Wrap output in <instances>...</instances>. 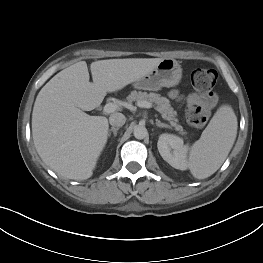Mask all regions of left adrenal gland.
<instances>
[{
  "mask_svg": "<svg viewBox=\"0 0 263 263\" xmlns=\"http://www.w3.org/2000/svg\"><path fill=\"white\" fill-rule=\"evenodd\" d=\"M156 126L162 127V128H163V127H165V128H170L169 125L164 124V123L160 122L159 120H156Z\"/></svg>",
  "mask_w": 263,
  "mask_h": 263,
  "instance_id": "obj_1",
  "label": "left adrenal gland"
}]
</instances>
